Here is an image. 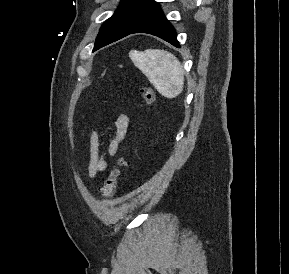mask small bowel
<instances>
[{
	"label": "small bowel",
	"instance_id": "1",
	"mask_svg": "<svg viewBox=\"0 0 289 274\" xmlns=\"http://www.w3.org/2000/svg\"><path fill=\"white\" fill-rule=\"evenodd\" d=\"M130 119L126 114H119L113 123V135L107 147L109 156L114 157L123 142L129 127ZM99 135L96 130H92L89 139V159L87 162V173L89 178H94L97 173L107 169L106 154L100 149Z\"/></svg>",
	"mask_w": 289,
	"mask_h": 274
}]
</instances>
